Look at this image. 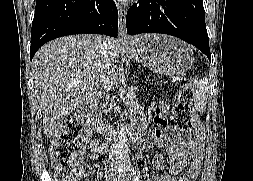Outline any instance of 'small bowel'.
Segmentation results:
<instances>
[{
  "mask_svg": "<svg viewBox=\"0 0 253 181\" xmlns=\"http://www.w3.org/2000/svg\"><path fill=\"white\" fill-rule=\"evenodd\" d=\"M169 105H163L156 110V118L149 133V140L144 143L146 150L154 147H164L169 160V168L165 169L163 157L156 154L153 158V166L159 170L158 174L152 176L153 181H174L176 175L180 181H195L204 157L201 131L197 129L190 137H181L177 131L167 127L166 120L162 113L168 111ZM92 158H96L102 150L99 141H93Z\"/></svg>",
  "mask_w": 253,
  "mask_h": 181,
  "instance_id": "small-bowel-1",
  "label": "small bowel"
}]
</instances>
